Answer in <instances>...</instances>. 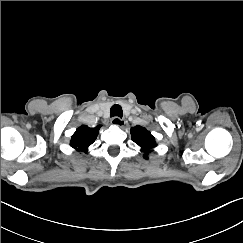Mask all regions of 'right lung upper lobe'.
I'll use <instances>...</instances> for the list:
<instances>
[{
    "label": "right lung upper lobe",
    "mask_w": 243,
    "mask_h": 243,
    "mask_svg": "<svg viewBox=\"0 0 243 243\" xmlns=\"http://www.w3.org/2000/svg\"><path fill=\"white\" fill-rule=\"evenodd\" d=\"M99 129L100 126L95 128H89L86 125L80 126L72 135L70 142L71 147L75 148L77 151L87 152L88 147L94 143Z\"/></svg>",
    "instance_id": "obj_1"
}]
</instances>
